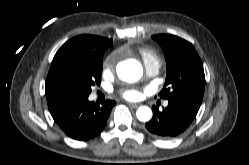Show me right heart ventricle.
Wrapping results in <instances>:
<instances>
[{"label": "right heart ventricle", "mask_w": 249, "mask_h": 165, "mask_svg": "<svg viewBox=\"0 0 249 165\" xmlns=\"http://www.w3.org/2000/svg\"><path fill=\"white\" fill-rule=\"evenodd\" d=\"M136 52L145 65L156 64L158 67L160 66L161 59L153 49L148 47H139Z\"/></svg>", "instance_id": "1"}]
</instances>
